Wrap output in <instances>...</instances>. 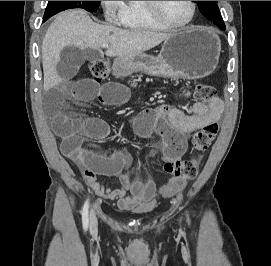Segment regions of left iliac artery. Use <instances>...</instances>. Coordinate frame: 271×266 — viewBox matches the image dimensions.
<instances>
[{"mask_svg": "<svg viewBox=\"0 0 271 266\" xmlns=\"http://www.w3.org/2000/svg\"><path fill=\"white\" fill-rule=\"evenodd\" d=\"M188 216V215H187ZM188 222L190 223L189 217H188Z\"/></svg>", "mask_w": 271, "mask_h": 266, "instance_id": "1", "label": "left iliac artery"}]
</instances>
